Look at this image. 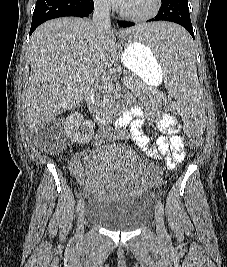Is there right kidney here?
<instances>
[{"mask_svg":"<svg viewBox=\"0 0 227 267\" xmlns=\"http://www.w3.org/2000/svg\"><path fill=\"white\" fill-rule=\"evenodd\" d=\"M66 133L75 143L85 144L89 142L93 135L95 125L92 121L85 120L78 112L70 114L65 121Z\"/></svg>","mask_w":227,"mask_h":267,"instance_id":"1","label":"right kidney"}]
</instances>
